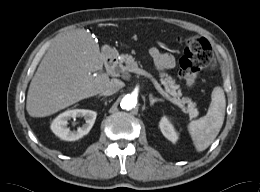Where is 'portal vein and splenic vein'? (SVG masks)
Listing matches in <instances>:
<instances>
[{"label":"portal vein and splenic vein","mask_w":260,"mask_h":192,"mask_svg":"<svg viewBox=\"0 0 260 192\" xmlns=\"http://www.w3.org/2000/svg\"><path fill=\"white\" fill-rule=\"evenodd\" d=\"M128 71H129V72H134V73H137V74H139V75H143V76L149 78V79L152 81V83L154 84L155 88L158 90V92H159L162 96H164L167 100H169L170 102H172V103H174V104H176V105H178L179 107L182 108V105H181L179 102H177V101H175L173 98H171V97L162 89V87H161L160 84L157 82V80L152 76V74H150L149 72H147V71H145V70H143V69H140V68L138 67V65H134V66L130 67V68L128 69Z\"/></svg>","instance_id":"18ae733b"}]
</instances>
